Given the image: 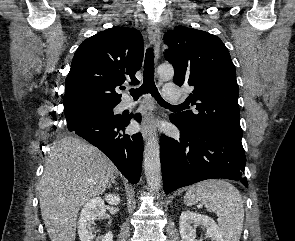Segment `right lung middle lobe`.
<instances>
[{
  "label": "right lung middle lobe",
  "mask_w": 295,
  "mask_h": 241,
  "mask_svg": "<svg viewBox=\"0 0 295 241\" xmlns=\"http://www.w3.org/2000/svg\"><path fill=\"white\" fill-rule=\"evenodd\" d=\"M115 106L116 105H103V106L88 107V108L66 113L65 116H66L67 122L75 121L83 117L95 116V115H101V116H107V117H120L121 115L113 114V108Z\"/></svg>",
  "instance_id": "dd1d6c3e"
}]
</instances>
